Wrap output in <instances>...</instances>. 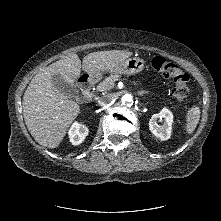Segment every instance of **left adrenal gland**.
Wrapping results in <instances>:
<instances>
[{"instance_id":"a2214340","label":"left adrenal gland","mask_w":221,"mask_h":221,"mask_svg":"<svg viewBox=\"0 0 221 221\" xmlns=\"http://www.w3.org/2000/svg\"><path fill=\"white\" fill-rule=\"evenodd\" d=\"M145 93H148V92L147 91H141V92H139V95H143Z\"/></svg>"}]
</instances>
